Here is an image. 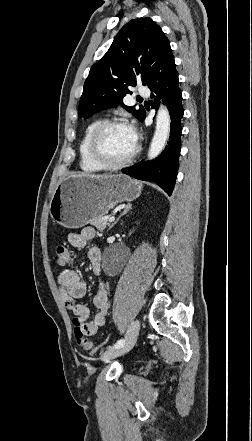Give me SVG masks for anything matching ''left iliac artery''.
Segmentation results:
<instances>
[{
  "instance_id": "left-iliac-artery-1",
  "label": "left iliac artery",
  "mask_w": 252,
  "mask_h": 441,
  "mask_svg": "<svg viewBox=\"0 0 252 441\" xmlns=\"http://www.w3.org/2000/svg\"><path fill=\"white\" fill-rule=\"evenodd\" d=\"M125 340L124 339H120L116 342V344L114 346H109V348H120L124 345Z\"/></svg>"
}]
</instances>
